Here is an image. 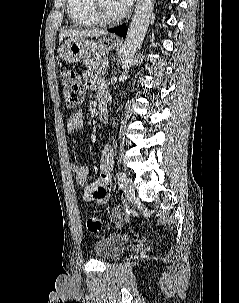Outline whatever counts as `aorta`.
Returning <instances> with one entry per match:
<instances>
[{"label": "aorta", "mask_w": 239, "mask_h": 303, "mask_svg": "<svg viewBox=\"0 0 239 303\" xmlns=\"http://www.w3.org/2000/svg\"><path fill=\"white\" fill-rule=\"evenodd\" d=\"M154 3L155 0H137L135 12L123 45V56L121 61L123 73L120 76V79H127L128 70L146 35Z\"/></svg>", "instance_id": "aorta-1"}]
</instances>
